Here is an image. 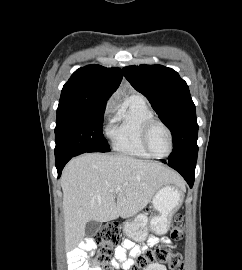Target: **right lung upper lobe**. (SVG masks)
Masks as SVG:
<instances>
[{
  "label": "right lung upper lobe",
  "instance_id": "obj_1",
  "mask_svg": "<svg viewBox=\"0 0 242 270\" xmlns=\"http://www.w3.org/2000/svg\"><path fill=\"white\" fill-rule=\"evenodd\" d=\"M123 73L119 68L88 65L76 70L63 86L58 108H97L106 106L118 88Z\"/></svg>",
  "mask_w": 242,
  "mask_h": 270
}]
</instances>
